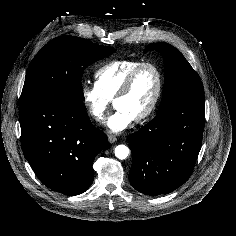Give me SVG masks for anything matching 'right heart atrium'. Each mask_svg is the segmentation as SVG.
Instances as JSON below:
<instances>
[{
	"label": "right heart atrium",
	"instance_id": "right-heart-atrium-1",
	"mask_svg": "<svg viewBox=\"0 0 236 236\" xmlns=\"http://www.w3.org/2000/svg\"><path fill=\"white\" fill-rule=\"evenodd\" d=\"M81 98L89 115L96 121H103L111 104L109 100L94 84H86L81 89Z\"/></svg>",
	"mask_w": 236,
	"mask_h": 236
}]
</instances>
